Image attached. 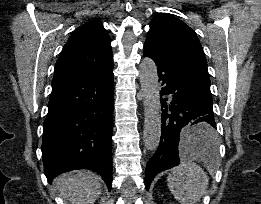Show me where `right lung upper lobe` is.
I'll return each instance as SVG.
<instances>
[{
  "label": "right lung upper lobe",
  "mask_w": 261,
  "mask_h": 204,
  "mask_svg": "<svg viewBox=\"0 0 261 204\" xmlns=\"http://www.w3.org/2000/svg\"><path fill=\"white\" fill-rule=\"evenodd\" d=\"M113 63L110 37L99 20L79 26L55 65L53 82L87 75Z\"/></svg>",
  "instance_id": "right-lung-upper-lobe-1"
}]
</instances>
